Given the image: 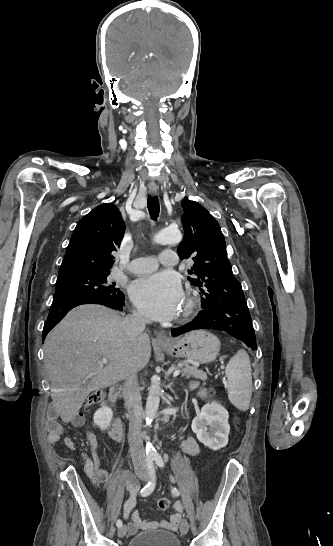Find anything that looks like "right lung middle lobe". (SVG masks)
<instances>
[{
  "instance_id": "dd1d6c3e",
  "label": "right lung middle lobe",
  "mask_w": 333,
  "mask_h": 546,
  "mask_svg": "<svg viewBox=\"0 0 333 546\" xmlns=\"http://www.w3.org/2000/svg\"><path fill=\"white\" fill-rule=\"evenodd\" d=\"M110 272H83L58 277L53 301L91 295L121 294L120 289L107 283Z\"/></svg>"
}]
</instances>
